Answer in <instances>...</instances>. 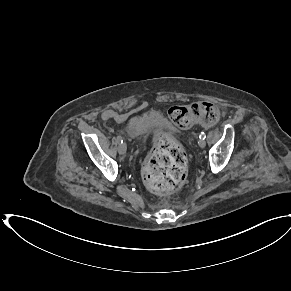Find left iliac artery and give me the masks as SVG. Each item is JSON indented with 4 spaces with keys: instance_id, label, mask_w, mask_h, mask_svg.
<instances>
[{
    "instance_id": "obj_1",
    "label": "left iliac artery",
    "mask_w": 291,
    "mask_h": 291,
    "mask_svg": "<svg viewBox=\"0 0 291 291\" xmlns=\"http://www.w3.org/2000/svg\"><path fill=\"white\" fill-rule=\"evenodd\" d=\"M199 138L200 139H205L206 138V134L204 132H201Z\"/></svg>"
}]
</instances>
